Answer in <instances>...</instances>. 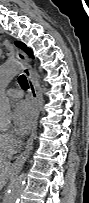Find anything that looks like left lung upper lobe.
<instances>
[{"label": "left lung upper lobe", "instance_id": "1", "mask_svg": "<svg viewBox=\"0 0 89 203\" xmlns=\"http://www.w3.org/2000/svg\"><path fill=\"white\" fill-rule=\"evenodd\" d=\"M16 46L20 47L22 50H24L29 56L33 57L32 50L28 48L25 44L21 43L20 41L15 42Z\"/></svg>", "mask_w": 89, "mask_h": 203}]
</instances>
